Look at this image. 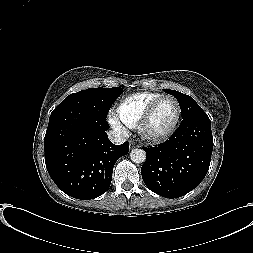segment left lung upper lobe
<instances>
[{
    "label": "left lung upper lobe",
    "mask_w": 253,
    "mask_h": 253,
    "mask_svg": "<svg viewBox=\"0 0 253 253\" xmlns=\"http://www.w3.org/2000/svg\"><path fill=\"white\" fill-rule=\"evenodd\" d=\"M164 92L173 95L177 99L183 119L192 115L206 114L192 97L174 90H164Z\"/></svg>",
    "instance_id": "1"
}]
</instances>
